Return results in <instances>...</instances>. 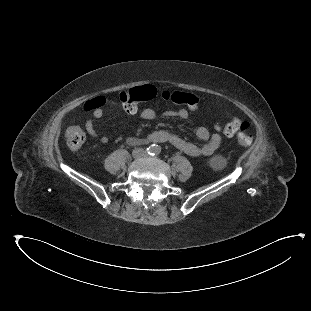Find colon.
<instances>
[{
	"mask_svg": "<svg viewBox=\"0 0 311 311\" xmlns=\"http://www.w3.org/2000/svg\"><path fill=\"white\" fill-rule=\"evenodd\" d=\"M156 94V88L154 86H144L139 90H133L129 92H123L119 94V99L121 105L125 111L133 113L137 110L138 100L149 99L154 97ZM161 98L164 101H170L176 104H182L188 107L192 111H198L199 106L196 98L189 93H183L179 91H168L165 90L161 93ZM114 103V98L112 96L101 95L100 97H90L83 101V105L78 109L81 114H87L89 109H94L96 106H101L102 104L112 105ZM238 120H234L225 124L222 128V133L232 136V132L235 129L234 123ZM246 121V120H243ZM247 122V121H246ZM242 123V122H241ZM249 129V123L247 122ZM248 129L244 132L240 130L241 134L237 135L238 144L241 148H249L253 144V137L248 133ZM239 132V133H240ZM87 137L86 131L81 127H71L65 133V138L67 146L71 151H77L83 145Z\"/></svg>",
	"mask_w": 311,
	"mask_h": 311,
	"instance_id": "5ec220e1",
	"label": "colon"
}]
</instances>
